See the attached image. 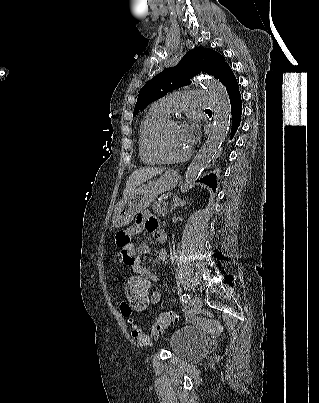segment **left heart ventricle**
<instances>
[{"mask_svg":"<svg viewBox=\"0 0 319 403\" xmlns=\"http://www.w3.org/2000/svg\"><path fill=\"white\" fill-rule=\"evenodd\" d=\"M163 145L166 153L173 157H180L190 149L184 139L182 125H173L166 131Z\"/></svg>","mask_w":319,"mask_h":403,"instance_id":"b2bd125f","label":"left heart ventricle"}]
</instances>
